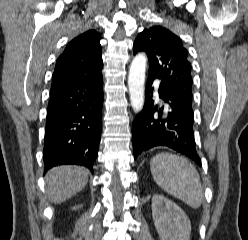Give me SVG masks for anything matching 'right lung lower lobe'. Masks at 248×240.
Listing matches in <instances>:
<instances>
[{
  "mask_svg": "<svg viewBox=\"0 0 248 240\" xmlns=\"http://www.w3.org/2000/svg\"><path fill=\"white\" fill-rule=\"evenodd\" d=\"M102 74L50 90L43 160L46 170L75 164L93 172L100 143Z\"/></svg>",
  "mask_w": 248,
  "mask_h": 240,
  "instance_id": "obj_1",
  "label": "right lung lower lobe"
}]
</instances>
